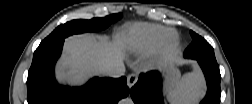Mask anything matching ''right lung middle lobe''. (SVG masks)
<instances>
[{"mask_svg":"<svg viewBox=\"0 0 252 104\" xmlns=\"http://www.w3.org/2000/svg\"><path fill=\"white\" fill-rule=\"evenodd\" d=\"M122 17L121 13L112 14L104 18H93L91 20H73L58 26L39 46L48 45L57 41L64 40L72 34L84 32H95L106 29L111 23L116 22Z\"/></svg>","mask_w":252,"mask_h":104,"instance_id":"right-lung-middle-lobe-1","label":"right lung middle lobe"}]
</instances>
